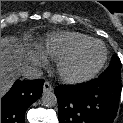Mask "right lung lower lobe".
<instances>
[{"mask_svg": "<svg viewBox=\"0 0 123 123\" xmlns=\"http://www.w3.org/2000/svg\"><path fill=\"white\" fill-rule=\"evenodd\" d=\"M44 80L16 81L1 98V123H25V112L42 95Z\"/></svg>", "mask_w": 123, "mask_h": 123, "instance_id": "1", "label": "right lung lower lobe"}]
</instances>
